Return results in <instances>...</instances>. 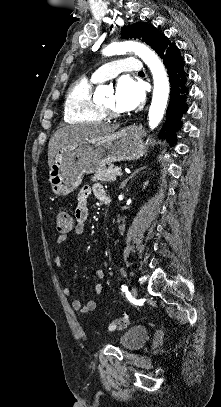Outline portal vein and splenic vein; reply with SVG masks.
<instances>
[{"mask_svg":"<svg viewBox=\"0 0 221 407\" xmlns=\"http://www.w3.org/2000/svg\"><path fill=\"white\" fill-rule=\"evenodd\" d=\"M116 175H117V176H122V175H123V172H122L121 170H120V171H117V172H116Z\"/></svg>","mask_w":221,"mask_h":407,"instance_id":"portal-vein-and-splenic-vein-1","label":"portal vein and splenic vein"}]
</instances>
